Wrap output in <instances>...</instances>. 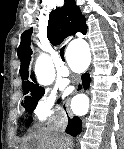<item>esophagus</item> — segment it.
Listing matches in <instances>:
<instances>
[{"label":"esophagus","mask_w":124,"mask_h":149,"mask_svg":"<svg viewBox=\"0 0 124 149\" xmlns=\"http://www.w3.org/2000/svg\"><path fill=\"white\" fill-rule=\"evenodd\" d=\"M82 87H81V81H78L77 82V85H76V91H81Z\"/></svg>","instance_id":"obj_1"}]
</instances>
